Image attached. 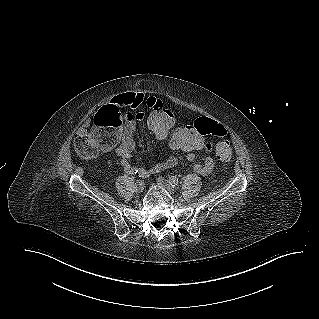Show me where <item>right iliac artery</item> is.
I'll list each match as a JSON object with an SVG mask.
<instances>
[{
	"instance_id": "1",
	"label": "right iliac artery",
	"mask_w": 319,
	"mask_h": 319,
	"mask_svg": "<svg viewBox=\"0 0 319 319\" xmlns=\"http://www.w3.org/2000/svg\"><path fill=\"white\" fill-rule=\"evenodd\" d=\"M138 172H139V174H140L141 177H145V174H144L143 172L141 173V172L138 170V168L133 167L132 170H131V174H132V175H136Z\"/></svg>"
}]
</instances>
